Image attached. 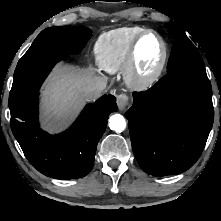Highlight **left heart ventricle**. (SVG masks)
<instances>
[{
    "instance_id": "obj_1",
    "label": "left heart ventricle",
    "mask_w": 221,
    "mask_h": 221,
    "mask_svg": "<svg viewBox=\"0 0 221 221\" xmlns=\"http://www.w3.org/2000/svg\"><path fill=\"white\" fill-rule=\"evenodd\" d=\"M162 55V46L155 35H147L141 41L137 60L138 70L142 75L150 74L158 65Z\"/></svg>"
}]
</instances>
